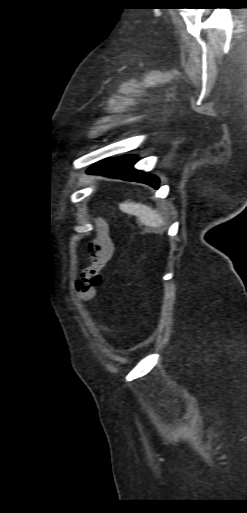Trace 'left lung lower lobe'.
I'll return each instance as SVG.
<instances>
[{
    "mask_svg": "<svg viewBox=\"0 0 247 513\" xmlns=\"http://www.w3.org/2000/svg\"><path fill=\"white\" fill-rule=\"evenodd\" d=\"M136 162L134 156H123L116 159H106L91 167L88 172L101 174L108 177L119 178L128 181H136L159 188V179L151 174H146L133 168Z\"/></svg>",
    "mask_w": 247,
    "mask_h": 513,
    "instance_id": "left-lung-lower-lobe-1",
    "label": "left lung lower lobe"
}]
</instances>
